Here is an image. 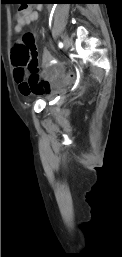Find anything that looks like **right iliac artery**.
<instances>
[{"label": "right iliac artery", "mask_w": 122, "mask_h": 257, "mask_svg": "<svg viewBox=\"0 0 122 257\" xmlns=\"http://www.w3.org/2000/svg\"><path fill=\"white\" fill-rule=\"evenodd\" d=\"M59 47L62 48L63 47V43L59 42Z\"/></svg>", "instance_id": "1"}]
</instances>
